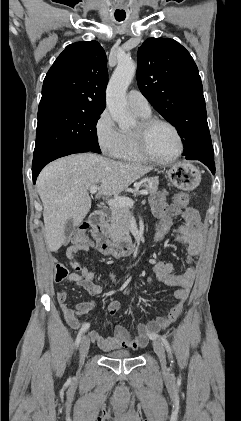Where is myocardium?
Instances as JSON below:
<instances>
[{
	"label": "myocardium",
	"instance_id": "obj_1",
	"mask_svg": "<svg viewBox=\"0 0 241 421\" xmlns=\"http://www.w3.org/2000/svg\"><path fill=\"white\" fill-rule=\"evenodd\" d=\"M157 125H165L173 130L178 140V151L169 158H158L150 150L148 145V137L150 131ZM134 138L139 152L148 160L156 164H170L175 162L184 151V141L179 129L172 122L155 117H149L139 122L134 130Z\"/></svg>",
	"mask_w": 241,
	"mask_h": 421
}]
</instances>
